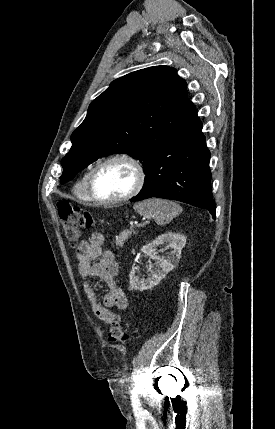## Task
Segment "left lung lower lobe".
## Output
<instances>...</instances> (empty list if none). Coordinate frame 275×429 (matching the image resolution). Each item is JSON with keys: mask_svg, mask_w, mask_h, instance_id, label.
I'll use <instances>...</instances> for the list:
<instances>
[{"mask_svg": "<svg viewBox=\"0 0 275 429\" xmlns=\"http://www.w3.org/2000/svg\"><path fill=\"white\" fill-rule=\"evenodd\" d=\"M209 160L202 122L192 103L151 160L143 188L131 201L151 197L177 200L207 209L215 218Z\"/></svg>", "mask_w": 275, "mask_h": 429, "instance_id": "1", "label": "left lung lower lobe"}]
</instances>
